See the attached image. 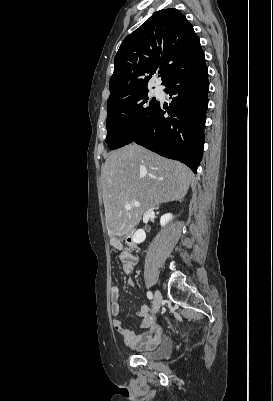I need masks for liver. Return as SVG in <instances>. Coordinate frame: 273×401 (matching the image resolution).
Segmentation results:
<instances>
[{
    "instance_id": "1",
    "label": "liver",
    "mask_w": 273,
    "mask_h": 401,
    "mask_svg": "<svg viewBox=\"0 0 273 401\" xmlns=\"http://www.w3.org/2000/svg\"><path fill=\"white\" fill-rule=\"evenodd\" d=\"M101 176L106 229L113 241L136 227L148 209L181 201L194 174L182 162L163 158L132 142L110 152ZM135 201L140 207L125 209Z\"/></svg>"
}]
</instances>
